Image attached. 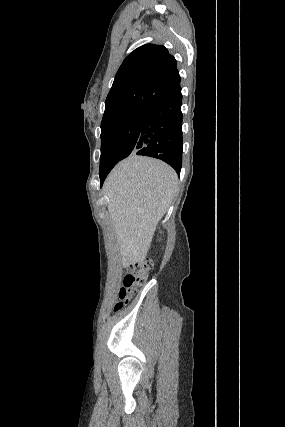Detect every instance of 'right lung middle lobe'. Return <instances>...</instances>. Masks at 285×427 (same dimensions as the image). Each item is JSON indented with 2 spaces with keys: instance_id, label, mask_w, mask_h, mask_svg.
<instances>
[{
  "instance_id": "obj_1",
  "label": "right lung middle lobe",
  "mask_w": 285,
  "mask_h": 427,
  "mask_svg": "<svg viewBox=\"0 0 285 427\" xmlns=\"http://www.w3.org/2000/svg\"><path fill=\"white\" fill-rule=\"evenodd\" d=\"M145 115L146 110H140L101 125L100 173L134 152Z\"/></svg>"
}]
</instances>
